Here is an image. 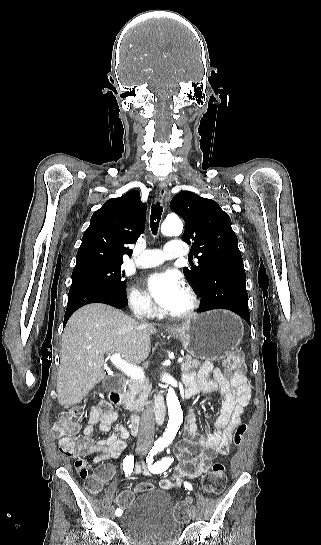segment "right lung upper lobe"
<instances>
[{"mask_svg":"<svg viewBox=\"0 0 321 545\" xmlns=\"http://www.w3.org/2000/svg\"><path fill=\"white\" fill-rule=\"evenodd\" d=\"M146 205L139 191L109 199L94 212L82 237L74 269L97 264H122L123 256H131L126 244L135 243L143 232Z\"/></svg>","mask_w":321,"mask_h":545,"instance_id":"1","label":"right lung upper lobe"}]
</instances>
